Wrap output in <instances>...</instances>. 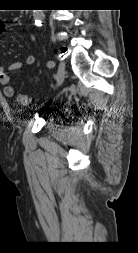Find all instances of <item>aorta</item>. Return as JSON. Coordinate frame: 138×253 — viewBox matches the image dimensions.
<instances>
[{"mask_svg":"<svg viewBox=\"0 0 138 253\" xmlns=\"http://www.w3.org/2000/svg\"><path fill=\"white\" fill-rule=\"evenodd\" d=\"M33 18L36 26H40L45 18L43 10H33Z\"/></svg>","mask_w":138,"mask_h":253,"instance_id":"aorta-1","label":"aorta"}]
</instances>
